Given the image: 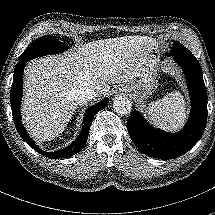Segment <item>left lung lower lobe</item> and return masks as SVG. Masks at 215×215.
Here are the masks:
<instances>
[{
  "instance_id": "1",
  "label": "left lung lower lobe",
  "mask_w": 215,
  "mask_h": 215,
  "mask_svg": "<svg viewBox=\"0 0 215 215\" xmlns=\"http://www.w3.org/2000/svg\"><path fill=\"white\" fill-rule=\"evenodd\" d=\"M186 77L191 111L186 126L172 134L149 125L138 111L127 121L128 133L144 154L160 159H174L189 151L201 138L207 122V92L198 60L188 49L171 51Z\"/></svg>"
}]
</instances>
